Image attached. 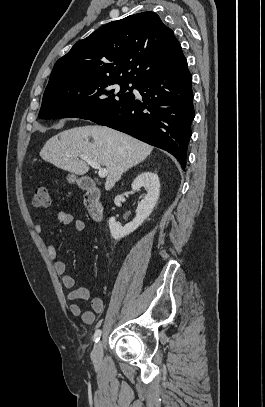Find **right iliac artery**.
I'll return each instance as SVG.
<instances>
[{
    "mask_svg": "<svg viewBox=\"0 0 265 407\" xmlns=\"http://www.w3.org/2000/svg\"><path fill=\"white\" fill-rule=\"evenodd\" d=\"M100 336H101V330H100V329H97V330L95 331V334H94V340H95V342H98V341H99Z\"/></svg>",
    "mask_w": 265,
    "mask_h": 407,
    "instance_id": "82829eb1",
    "label": "right iliac artery"
}]
</instances>
